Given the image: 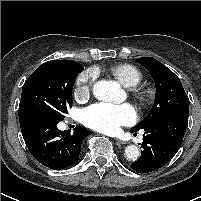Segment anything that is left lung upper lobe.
<instances>
[{
    "mask_svg": "<svg viewBox=\"0 0 201 201\" xmlns=\"http://www.w3.org/2000/svg\"><path fill=\"white\" fill-rule=\"evenodd\" d=\"M137 61L149 70L156 85V98L148 115L131 131L137 132L153 121L169 115H189V99L180 79L165 65L152 57Z\"/></svg>",
    "mask_w": 201,
    "mask_h": 201,
    "instance_id": "obj_1",
    "label": "left lung upper lobe"
}]
</instances>
